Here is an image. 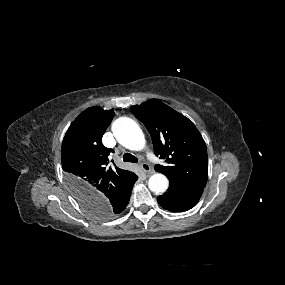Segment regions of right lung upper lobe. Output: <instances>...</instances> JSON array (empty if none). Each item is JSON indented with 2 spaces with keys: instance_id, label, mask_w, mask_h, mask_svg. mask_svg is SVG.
<instances>
[{
  "instance_id": "right-lung-upper-lobe-1",
  "label": "right lung upper lobe",
  "mask_w": 285,
  "mask_h": 285,
  "mask_svg": "<svg viewBox=\"0 0 285 285\" xmlns=\"http://www.w3.org/2000/svg\"><path fill=\"white\" fill-rule=\"evenodd\" d=\"M114 111L93 107L71 124L62 143V168L74 196L82 206L109 199L122 192L137 176L118 167H109L110 153L102 136Z\"/></svg>"
}]
</instances>
